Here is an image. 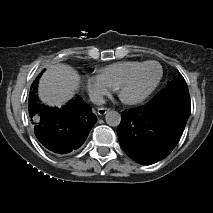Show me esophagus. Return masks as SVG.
Masks as SVG:
<instances>
[{
  "mask_svg": "<svg viewBox=\"0 0 213 213\" xmlns=\"http://www.w3.org/2000/svg\"><path fill=\"white\" fill-rule=\"evenodd\" d=\"M108 111H109V109H108V108H105V107H100V108H98V110H97V112H98V114H99L100 116L105 115Z\"/></svg>",
  "mask_w": 213,
  "mask_h": 213,
  "instance_id": "1",
  "label": "esophagus"
}]
</instances>
